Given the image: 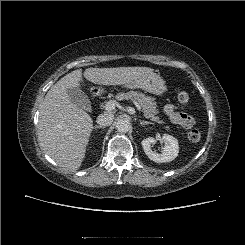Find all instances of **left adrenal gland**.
<instances>
[{
    "label": "left adrenal gland",
    "mask_w": 245,
    "mask_h": 245,
    "mask_svg": "<svg viewBox=\"0 0 245 245\" xmlns=\"http://www.w3.org/2000/svg\"><path fill=\"white\" fill-rule=\"evenodd\" d=\"M139 122H140V124H141L142 126L148 125V124H153L152 122H148V121H141V120H139Z\"/></svg>",
    "instance_id": "a2214340"
}]
</instances>
